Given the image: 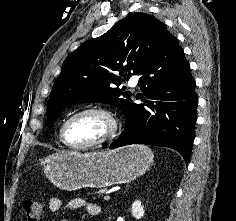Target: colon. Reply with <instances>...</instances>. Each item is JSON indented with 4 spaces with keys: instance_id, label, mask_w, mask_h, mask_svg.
<instances>
[{
    "instance_id": "5ec220e1",
    "label": "colon",
    "mask_w": 236,
    "mask_h": 221,
    "mask_svg": "<svg viewBox=\"0 0 236 221\" xmlns=\"http://www.w3.org/2000/svg\"><path fill=\"white\" fill-rule=\"evenodd\" d=\"M23 208L29 221H39L44 213V204L36 198L26 199Z\"/></svg>"
}]
</instances>
